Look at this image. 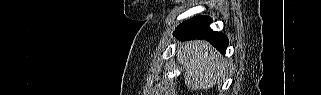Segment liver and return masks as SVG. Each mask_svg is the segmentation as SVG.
<instances>
[{"instance_id":"6515ba94","label":"liver","mask_w":321,"mask_h":95,"mask_svg":"<svg viewBox=\"0 0 321 95\" xmlns=\"http://www.w3.org/2000/svg\"><path fill=\"white\" fill-rule=\"evenodd\" d=\"M177 60L183 66L186 86L194 91L213 87L227 67V62L205 40L181 44Z\"/></svg>"}]
</instances>
